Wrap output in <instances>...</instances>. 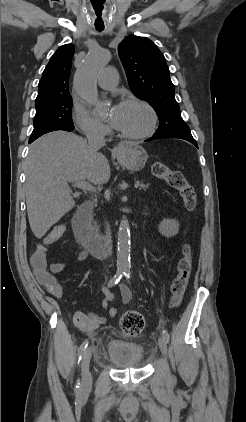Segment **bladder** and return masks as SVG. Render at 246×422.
Listing matches in <instances>:
<instances>
[{"instance_id": "1", "label": "bladder", "mask_w": 246, "mask_h": 422, "mask_svg": "<svg viewBox=\"0 0 246 422\" xmlns=\"http://www.w3.org/2000/svg\"><path fill=\"white\" fill-rule=\"evenodd\" d=\"M106 357L120 368H137L145 362V349L136 341L112 338L106 345Z\"/></svg>"}]
</instances>
